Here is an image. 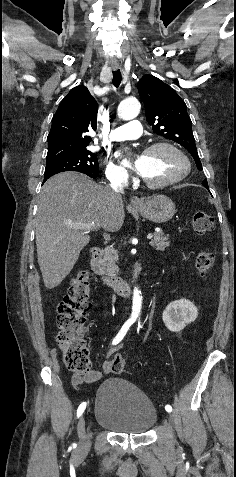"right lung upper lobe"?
Wrapping results in <instances>:
<instances>
[{"label": "right lung upper lobe", "instance_id": "cb5924a9", "mask_svg": "<svg viewBox=\"0 0 236 477\" xmlns=\"http://www.w3.org/2000/svg\"><path fill=\"white\" fill-rule=\"evenodd\" d=\"M98 104L85 86L70 90L60 103L48 134L47 161L73 154L86 148L96 130Z\"/></svg>", "mask_w": 236, "mask_h": 477}]
</instances>
